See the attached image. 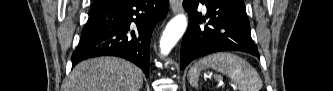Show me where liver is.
Segmentation results:
<instances>
[{
	"instance_id": "6515ba94",
	"label": "liver",
	"mask_w": 333,
	"mask_h": 91,
	"mask_svg": "<svg viewBox=\"0 0 333 91\" xmlns=\"http://www.w3.org/2000/svg\"><path fill=\"white\" fill-rule=\"evenodd\" d=\"M143 72L121 58L100 57L79 63L66 83V91H140Z\"/></svg>"
}]
</instances>
